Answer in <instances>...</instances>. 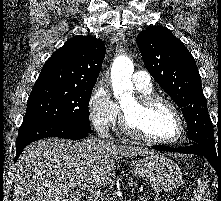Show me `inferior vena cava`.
<instances>
[{
	"label": "inferior vena cava",
	"instance_id": "602c4592",
	"mask_svg": "<svg viewBox=\"0 0 221 201\" xmlns=\"http://www.w3.org/2000/svg\"><path fill=\"white\" fill-rule=\"evenodd\" d=\"M98 136L101 140L105 141V142H108V143H112L110 140H109V130L107 127H103L99 132H98Z\"/></svg>",
	"mask_w": 221,
	"mask_h": 201
}]
</instances>
